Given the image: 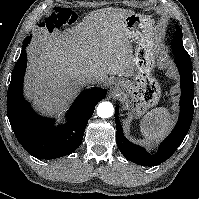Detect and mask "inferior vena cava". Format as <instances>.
Segmentation results:
<instances>
[{
    "instance_id": "inferior-vena-cava-1",
    "label": "inferior vena cava",
    "mask_w": 199,
    "mask_h": 199,
    "mask_svg": "<svg viewBox=\"0 0 199 199\" xmlns=\"http://www.w3.org/2000/svg\"><path fill=\"white\" fill-rule=\"evenodd\" d=\"M81 82L85 85L91 84V83H96L97 78H95L94 76H91V75H85L81 78Z\"/></svg>"
}]
</instances>
